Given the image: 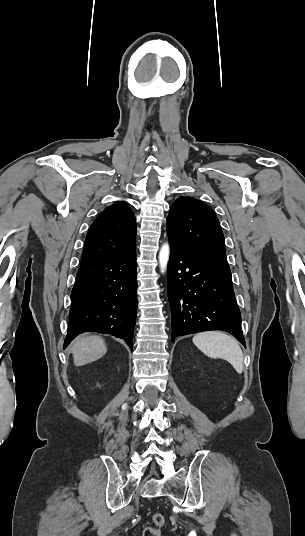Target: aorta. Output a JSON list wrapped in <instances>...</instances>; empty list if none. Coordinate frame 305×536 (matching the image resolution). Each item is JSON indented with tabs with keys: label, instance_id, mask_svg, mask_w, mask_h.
Listing matches in <instances>:
<instances>
[{
	"label": "aorta",
	"instance_id": "762f6f07",
	"mask_svg": "<svg viewBox=\"0 0 305 536\" xmlns=\"http://www.w3.org/2000/svg\"><path fill=\"white\" fill-rule=\"evenodd\" d=\"M170 256V246L168 243L162 245L159 252V265L161 272H165L167 269L168 261Z\"/></svg>",
	"mask_w": 305,
	"mask_h": 536
}]
</instances>
